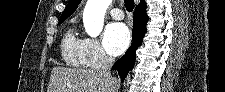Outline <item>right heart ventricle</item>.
<instances>
[{
	"mask_svg": "<svg viewBox=\"0 0 225 92\" xmlns=\"http://www.w3.org/2000/svg\"><path fill=\"white\" fill-rule=\"evenodd\" d=\"M61 53L66 63L76 67L83 64L82 39H79L72 29H69L63 37Z\"/></svg>",
	"mask_w": 225,
	"mask_h": 92,
	"instance_id": "right-heart-ventricle-1",
	"label": "right heart ventricle"
}]
</instances>
